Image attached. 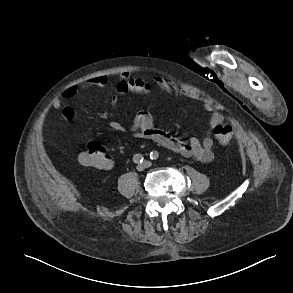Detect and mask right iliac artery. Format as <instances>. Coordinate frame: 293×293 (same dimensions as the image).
<instances>
[{
    "mask_svg": "<svg viewBox=\"0 0 293 293\" xmlns=\"http://www.w3.org/2000/svg\"><path fill=\"white\" fill-rule=\"evenodd\" d=\"M143 159L144 158H143V156L141 154H135L133 156V161H134V163H137V164L142 163Z\"/></svg>",
    "mask_w": 293,
    "mask_h": 293,
    "instance_id": "1",
    "label": "right iliac artery"
}]
</instances>
